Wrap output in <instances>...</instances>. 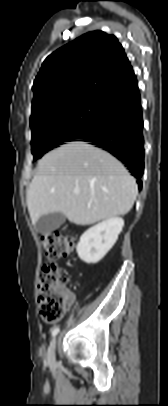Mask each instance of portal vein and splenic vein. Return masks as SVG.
I'll return each mask as SVG.
<instances>
[{"instance_id":"obj_1","label":"portal vein and splenic vein","mask_w":168,"mask_h":406,"mask_svg":"<svg viewBox=\"0 0 168 406\" xmlns=\"http://www.w3.org/2000/svg\"><path fill=\"white\" fill-rule=\"evenodd\" d=\"M79 192H80L79 189H75V190L73 191V193H75V194H78Z\"/></svg>"}]
</instances>
